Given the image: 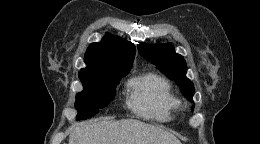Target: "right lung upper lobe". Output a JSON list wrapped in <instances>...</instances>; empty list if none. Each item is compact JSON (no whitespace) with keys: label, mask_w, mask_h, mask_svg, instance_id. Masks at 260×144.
<instances>
[{"label":"right lung upper lobe","mask_w":260,"mask_h":144,"mask_svg":"<svg viewBox=\"0 0 260 144\" xmlns=\"http://www.w3.org/2000/svg\"><path fill=\"white\" fill-rule=\"evenodd\" d=\"M134 56V44L106 34L102 41L88 47L84 57L87 67L79 76L130 71Z\"/></svg>","instance_id":"1"}]
</instances>
